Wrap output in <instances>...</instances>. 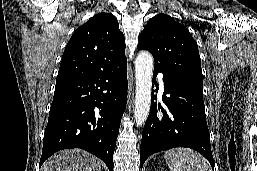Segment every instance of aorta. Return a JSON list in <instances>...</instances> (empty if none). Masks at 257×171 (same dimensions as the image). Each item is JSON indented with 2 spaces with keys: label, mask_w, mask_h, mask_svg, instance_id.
Instances as JSON below:
<instances>
[{
  "label": "aorta",
  "mask_w": 257,
  "mask_h": 171,
  "mask_svg": "<svg viewBox=\"0 0 257 171\" xmlns=\"http://www.w3.org/2000/svg\"><path fill=\"white\" fill-rule=\"evenodd\" d=\"M136 94L134 118L137 126H142L150 111L151 88L153 74V57L147 51H142L135 60Z\"/></svg>",
  "instance_id": "aorta-1"
}]
</instances>
